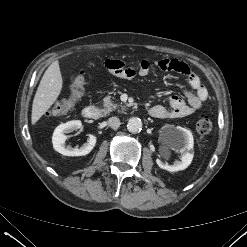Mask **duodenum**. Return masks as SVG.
<instances>
[{"label": "duodenum", "instance_id": "duodenum-1", "mask_svg": "<svg viewBox=\"0 0 247 247\" xmlns=\"http://www.w3.org/2000/svg\"><path fill=\"white\" fill-rule=\"evenodd\" d=\"M82 115L86 119L96 120V119L100 118L101 112H100L99 108H97L96 106L89 105V106H86L85 108H83Z\"/></svg>", "mask_w": 247, "mask_h": 247}]
</instances>
